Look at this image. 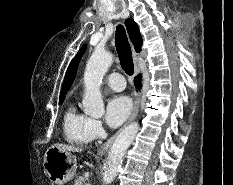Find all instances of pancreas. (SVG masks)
<instances>
[{"mask_svg": "<svg viewBox=\"0 0 233 185\" xmlns=\"http://www.w3.org/2000/svg\"><path fill=\"white\" fill-rule=\"evenodd\" d=\"M74 182V185H86L81 177H77Z\"/></svg>", "mask_w": 233, "mask_h": 185, "instance_id": "pancreas-1", "label": "pancreas"}]
</instances>
